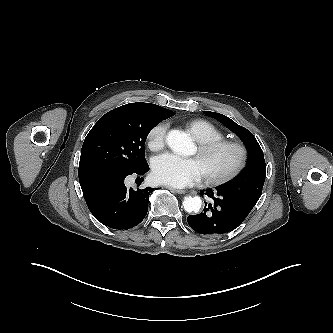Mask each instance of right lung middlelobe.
I'll list each match as a JSON object with an SVG mask.
<instances>
[{
	"label": "right lung middle lobe",
	"mask_w": 333,
	"mask_h": 333,
	"mask_svg": "<svg viewBox=\"0 0 333 333\" xmlns=\"http://www.w3.org/2000/svg\"><path fill=\"white\" fill-rule=\"evenodd\" d=\"M171 117L143 107L121 106L103 115L85 138L79 169L107 165L136 171L147 164L144 144L149 132Z\"/></svg>",
	"instance_id": "dd1d6c3e"
}]
</instances>
